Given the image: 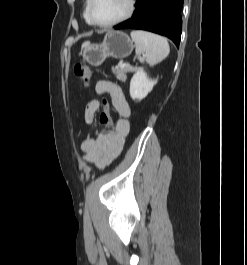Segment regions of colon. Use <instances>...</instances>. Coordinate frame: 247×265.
<instances>
[{"label": "colon", "instance_id": "colon-1", "mask_svg": "<svg viewBox=\"0 0 247 265\" xmlns=\"http://www.w3.org/2000/svg\"><path fill=\"white\" fill-rule=\"evenodd\" d=\"M74 73L85 85H88L91 78V69L86 63H78L74 68ZM100 123L105 127H112L113 125L110 109L106 101H104L103 111L100 115Z\"/></svg>", "mask_w": 247, "mask_h": 265}]
</instances>
